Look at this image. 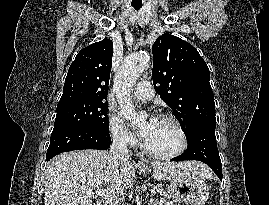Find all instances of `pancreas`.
I'll return each instance as SVG.
<instances>
[{"label":"pancreas","mask_w":269,"mask_h":205,"mask_svg":"<svg viewBox=\"0 0 269 205\" xmlns=\"http://www.w3.org/2000/svg\"><path fill=\"white\" fill-rule=\"evenodd\" d=\"M151 205H177V204L170 202L167 199L161 198L159 200L154 201Z\"/></svg>","instance_id":"pancreas-1"}]
</instances>
